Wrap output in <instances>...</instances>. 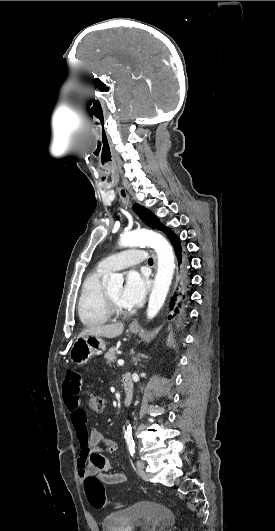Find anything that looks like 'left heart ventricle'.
I'll return each mask as SVG.
<instances>
[{"mask_svg": "<svg viewBox=\"0 0 275 531\" xmlns=\"http://www.w3.org/2000/svg\"><path fill=\"white\" fill-rule=\"evenodd\" d=\"M109 293L110 295L112 296V298L114 299L116 305L118 306L119 309L125 311L128 309V307H126L122 301H121V298H120V294H121V285H115V286H111V287H107L105 288Z\"/></svg>", "mask_w": 275, "mask_h": 531, "instance_id": "obj_1", "label": "left heart ventricle"}]
</instances>
